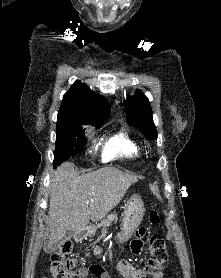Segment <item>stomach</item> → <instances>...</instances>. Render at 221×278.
<instances>
[{
    "label": "stomach",
    "instance_id": "stomach-1",
    "mask_svg": "<svg viewBox=\"0 0 221 278\" xmlns=\"http://www.w3.org/2000/svg\"><path fill=\"white\" fill-rule=\"evenodd\" d=\"M144 212L145 208L142 199L139 195L133 194L127 201L124 209L122 232L118 236L120 242H124L132 237L143 219Z\"/></svg>",
    "mask_w": 221,
    "mask_h": 278
}]
</instances>
